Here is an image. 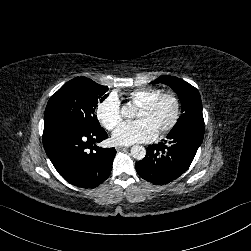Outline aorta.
I'll list each match as a JSON object with an SVG mask.
<instances>
[{"label":"aorta","mask_w":251,"mask_h":251,"mask_svg":"<svg viewBox=\"0 0 251 251\" xmlns=\"http://www.w3.org/2000/svg\"><path fill=\"white\" fill-rule=\"evenodd\" d=\"M127 113H130V112H128V109H127V108H124V109H123V114H124V115H127V116H130V114L128 115ZM130 152H131V155H132L135 159H137V160L143 159V158L145 157V155H146V150H145V148H144L143 146H141V145L132 146Z\"/></svg>","instance_id":"aorta-1"}]
</instances>
